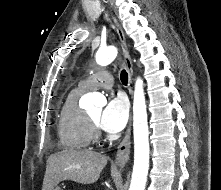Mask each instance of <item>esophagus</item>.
Masks as SVG:
<instances>
[{"label":"esophagus","mask_w":221,"mask_h":190,"mask_svg":"<svg viewBox=\"0 0 221 190\" xmlns=\"http://www.w3.org/2000/svg\"><path fill=\"white\" fill-rule=\"evenodd\" d=\"M113 19H114V23L116 26L117 34H118L120 42H121L122 51H123V54L125 57L126 66H127V70H128L129 93H130V95H132V93H133V90H132L133 66H132L130 56H129V51H128V47L126 44L125 34L123 32L121 25L117 22V20L115 18H113ZM130 148H131V118L129 121L128 128L126 130L125 137L123 138L122 142L118 146V150L116 153L115 162L119 167H124L125 164L128 162L129 157H130Z\"/></svg>","instance_id":"obj_1"}]
</instances>
